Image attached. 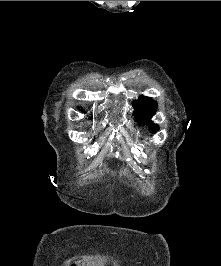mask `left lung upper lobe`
Returning <instances> with one entry per match:
<instances>
[{"label": "left lung upper lobe", "mask_w": 221, "mask_h": 266, "mask_svg": "<svg viewBox=\"0 0 221 266\" xmlns=\"http://www.w3.org/2000/svg\"><path fill=\"white\" fill-rule=\"evenodd\" d=\"M135 109V114L137 115L136 121L141 124H149V130L152 133H156L159 126L153 124L151 117L155 114L157 110V104L149 97L140 96L137 101L133 104Z\"/></svg>", "instance_id": "1"}]
</instances>
